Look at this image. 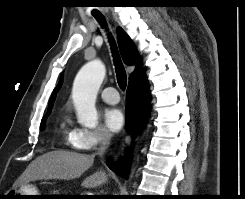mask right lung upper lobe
Segmentation results:
<instances>
[{
    "label": "right lung upper lobe",
    "mask_w": 245,
    "mask_h": 199,
    "mask_svg": "<svg viewBox=\"0 0 245 199\" xmlns=\"http://www.w3.org/2000/svg\"><path fill=\"white\" fill-rule=\"evenodd\" d=\"M117 38H118L120 53L122 55L124 63L128 66H132V65L136 66L135 71L131 74L129 78V84L146 82L147 80L145 78L144 71L142 70L141 59L138 55L136 47L134 46L129 36L125 33V31L120 27L117 28ZM62 80L63 77L61 76L57 87L54 89L52 93L51 99L49 101L48 112L45 116L50 115L51 113V109L56 97V93L62 85Z\"/></svg>",
    "instance_id": "1"
}]
</instances>
